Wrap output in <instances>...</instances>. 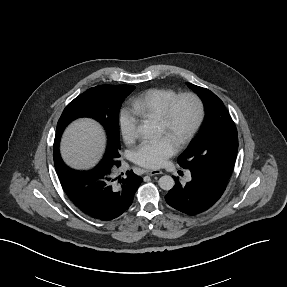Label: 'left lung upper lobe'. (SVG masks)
Instances as JSON below:
<instances>
[{"label": "left lung upper lobe", "mask_w": 287, "mask_h": 287, "mask_svg": "<svg viewBox=\"0 0 287 287\" xmlns=\"http://www.w3.org/2000/svg\"><path fill=\"white\" fill-rule=\"evenodd\" d=\"M203 101L206 117L199 136L178 157L185 169L210 170L229 179L238 151L236 126L223 102L210 90L187 83Z\"/></svg>", "instance_id": "1"}]
</instances>
